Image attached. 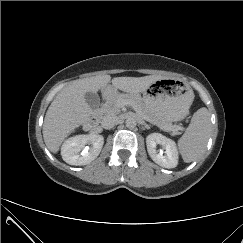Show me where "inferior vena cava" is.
Returning <instances> with one entry per match:
<instances>
[{
  "label": "inferior vena cava",
  "mask_w": 243,
  "mask_h": 243,
  "mask_svg": "<svg viewBox=\"0 0 243 243\" xmlns=\"http://www.w3.org/2000/svg\"><path fill=\"white\" fill-rule=\"evenodd\" d=\"M117 124H118V118H117V116H115L113 114L105 115L101 121V126L104 129H111L114 126H116Z\"/></svg>",
  "instance_id": "602c4592"
}]
</instances>
